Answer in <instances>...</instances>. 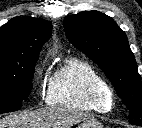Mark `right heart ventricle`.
Masks as SVG:
<instances>
[{
    "mask_svg": "<svg viewBox=\"0 0 142 128\" xmlns=\"http://www.w3.org/2000/svg\"><path fill=\"white\" fill-rule=\"evenodd\" d=\"M98 89L106 94L111 89L104 77L88 61L76 57L66 59L53 72L46 94V102L51 106L72 110H110L106 103H99L93 97Z\"/></svg>",
    "mask_w": 142,
    "mask_h": 128,
    "instance_id": "right-heart-ventricle-1",
    "label": "right heart ventricle"
}]
</instances>
